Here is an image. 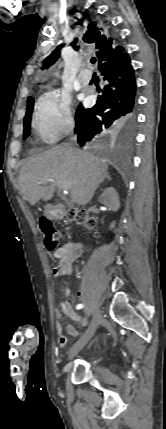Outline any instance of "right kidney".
I'll return each mask as SVG.
<instances>
[{
    "label": "right kidney",
    "mask_w": 166,
    "mask_h": 429,
    "mask_svg": "<svg viewBox=\"0 0 166 429\" xmlns=\"http://www.w3.org/2000/svg\"><path fill=\"white\" fill-rule=\"evenodd\" d=\"M99 202L112 210L114 212L118 211L120 208L119 196L114 187L106 188L99 197ZM115 227V222L113 221L110 224V229Z\"/></svg>",
    "instance_id": "right-kidney-1"
}]
</instances>
